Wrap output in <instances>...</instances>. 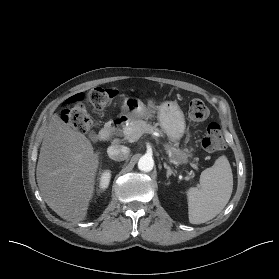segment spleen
<instances>
[{"label": "spleen", "mask_w": 279, "mask_h": 279, "mask_svg": "<svg viewBox=\"0 0 279 279\" xmlns=\"http://www.w3.org/2000/svg\"><path fill=\"white\" fill-rule=\"evenodd\" d=\"M233 190V174L225 156L200 175L199 187L187 191L189 222L205 223L217 216L227 205Z\"/></svg>", "instance_id": "3e777b00"}]
</instances>
